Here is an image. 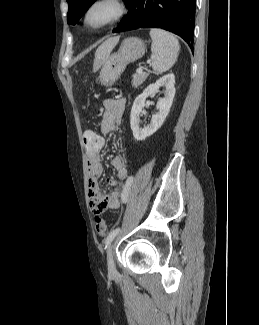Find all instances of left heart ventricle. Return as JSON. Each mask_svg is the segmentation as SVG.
<instances>
[{"label":"left heart ventricle","mask_w":259,"mask_h":325,"mask_svg":"<svg viewBox=\"0 0 259 325\" xmlns=\"http://www.w3.org/2000/svg\"><path fill=\"white\" fill-rule=\"evenodd\" d=\"M114 14V7L110 4H101L94 8L90 15V19L94 23L104 21Z\"/></svg>","instance_id":"1"}]
</instances>
